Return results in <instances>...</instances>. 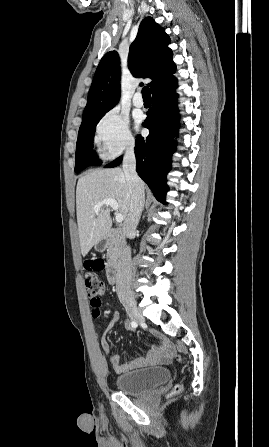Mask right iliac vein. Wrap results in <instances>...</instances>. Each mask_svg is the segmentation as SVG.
<instances>
[{
    "mask_svg": "<svg viewBox=\"0 0 269 447\" xmlns=\"http://www.w3.org/2000/svg\"><path fill=\"white\" fill-rule=\"evenodd\" d=\"M123 306L126 309L129 317L137 323L145 322V318L142 316L138 307L136 306V300L132 297L130 300L123 301Z\"/></svg>",
    "mask_w": 269,
    "mask_h": 447,
    "instance_id": "1",
    "label": "right iliac vein"
}]
</instances>
